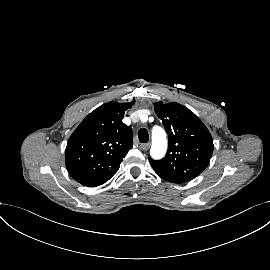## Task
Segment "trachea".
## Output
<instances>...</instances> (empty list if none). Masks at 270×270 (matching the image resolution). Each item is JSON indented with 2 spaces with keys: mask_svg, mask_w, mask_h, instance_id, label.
<instances>
[{
  "mask_svg": "<svg viewBox=\"0 0 270 270\" xmlns=\"http://www.w3.org/2000/svg\"><path fill=\"white\" fill-rule=\"evenodd\" d=\"M138 137L141 143H147L149 140V135L145 128H142L138 131Z\"/></svg>",
  "mask_w": 270,
  "mask_h": 270,
  "instance_id": "obj_1",
  "label": "trachea"
}]
</instances>
